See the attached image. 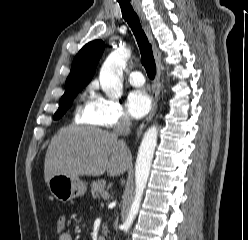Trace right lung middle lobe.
<instances>
[{
	"mask_svg": "<svg viewBox=\"0 0 248 240\" xmlns=\"http://www.w3.org/2000/svg\"><path fill=\"white\" fill-rule=\"evenodd\" d=\"M83 88H84V85H82L81 83L77 81H73V82H69L65 84V93L60 100L59 108L57 112L54 114L55 120L63 116V114L71 106L78 92L81 91Z\"/></svg>",
	"mask_w": 248,
	"mask_h": 240,
	"instance_id": "dd1d6c3e",
	"label": "right lung middle lobe"
}]
</instances>
